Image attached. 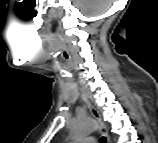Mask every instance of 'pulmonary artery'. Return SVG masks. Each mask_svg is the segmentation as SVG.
Instances as JSON below:
<instances>
[{"label":"pulmonary artery","instance_id":"e3ab8cb5","mask_svg":"<svg viewBox=\"0 0 158 143\" xmlns=\"http://www.w3.org/2000/svg\"><path fill=\"white\" fill-rule=\"evenodd\" d=\"M86 140H87L88 142H93V141H94V139H93L92 137L86 138Z\"/></svg>","mask_w":158,"mask_h":143}]
</instances>
